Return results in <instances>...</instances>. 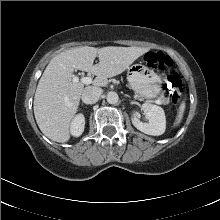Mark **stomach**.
<instances>
[{
	"label": "stomach",
	"mask_w": 220,
	"mask_h": 220,
	"mask_svg": "<svg viewBox=\"0 0 220 220\" xmlns=\"http://www.w3.org/2000/svg\"><path fill=\"white\" fill-rule=\"evenodd\" d=\"M127 79L131 89L144 98L154 99L163 95L161 77L142 64L130 66Z\"/></svg>",
	"instance_id": "stomach-1"
}]
</instances>
